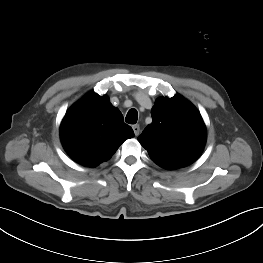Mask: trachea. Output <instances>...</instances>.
Listing matches in <instances>:
<instances>
[{"mask_svg": "<svg viewBox=\"0 0 263 263\" xmlns=\"http://www.w3.org/2000/svg\"><path fill=\"white\" fill-rule=\"evenodd\" d=\"M138 119V112L136 109H130L126 115V122L129 124H136Z\"/></svg>", "mask_w": 263, "mask_h": 263, "instance_id": "trachea-1", "label": "trachea"}]
</instances>
